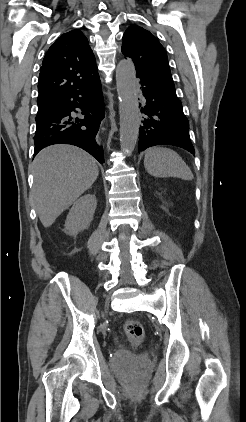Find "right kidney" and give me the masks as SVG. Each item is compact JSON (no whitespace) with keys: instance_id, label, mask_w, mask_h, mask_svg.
Wrapping results in <instances>:
<instances>
[{"instance_id":"ca27d5eb","label":"right kidney","mask_w":246,"mask_h":422,"mask_svg":"<svg viewBox=\"0 0 246 422\" xmlns=\"http://www.w3.org/2000/svg\"><path fill=\"white\" fill-rule=\"evenodd\" d=\"M96 204L94 194H86L75 201L65 221V232L74 236L87 228L93 220Z\"/></svg>"}]
</instances>
